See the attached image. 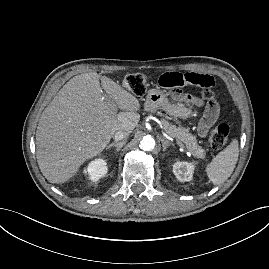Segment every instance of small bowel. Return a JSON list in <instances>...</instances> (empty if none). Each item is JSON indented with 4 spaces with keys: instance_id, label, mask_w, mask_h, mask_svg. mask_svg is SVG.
<instances>
[{
    "instance_id": "obj_1",
    "label": "small bowel",
    "mask_w": 269,
    "mask_h": 269,
    "mask_svg": "<svg viewBox=\"0 0 269 269\" xmlns=\"http://www.w3.org/2000/svg\"><path fill=\"white\" fill-rule=\"evenodd\" d=\"M177 73L178 72L171 71L167 74H161L157 78V83L159 86L165 87L167 89L185 86L197 99L208 103L205 107L204 114L198 123V132L201 136H204L208 128L218 119L220 110L218 104H213L209 101L203 100L201 97V92L205 88L215 89L216 83L207 74L200 75L195 72L186 74ZM177 98L179 100L199 104L197 99L192 98L188 95L177 94Z\"/></svg>"
}]
</instances>
